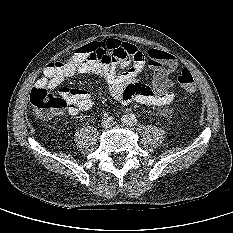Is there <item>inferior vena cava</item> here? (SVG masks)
<instances>
[{
    "mask_svg": "<svg viewBox=\"0 0 233 233\" xmlns=\"http://www.w3.org/2000/svg\"><path fill=\"white\" fill-rule=\"evenodd\" d=\"M115 123V120L113 117H108L102 120V126L105 128H110Z\"/></svg>",
    "mask_w": 233,
    "mask_h": 233,
    "instance_id": "inferior-vena-cava-1",
    "label": "inferior vena cava"
}]
</instances>
